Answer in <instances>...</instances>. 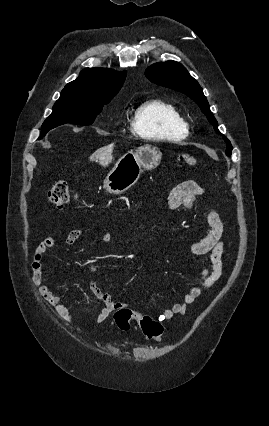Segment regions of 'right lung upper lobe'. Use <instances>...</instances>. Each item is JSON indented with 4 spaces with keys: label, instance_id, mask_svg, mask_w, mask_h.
<instances>
[{
    "label": "right lung upper lobe",
    "instance_id": "1",
    "mask_svg": "<svg viewBox=\"0 0 269 426\" xmlns=\"http://www.w3.org/2000/svg\"><path fill=\"white\" fill-rule=\"evenodd\" d=\"M126 71L105 68H87L68 83L61 93L83 94L92 97H114L122 87Z\"/></svg>",
    "mask_w": 269,
    "mask_h": 426
}]
</instances>
